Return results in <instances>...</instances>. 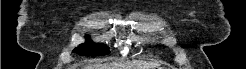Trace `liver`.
I'll return each mask as SVG.
<instances>
[{
    "mask_svg": "<svg viewBox=\"0 0 246 69\" xmlns=\"http://www.w3.org/2000/svg\"><path fill=\"white\" fill-rule=\"evenodd\" d=\"M117 67H128L125 69H154L157 67V64L141 63V62L135 61V62H132V63L126 65V66H120V65H117L115 63L105 64V65L96 64V65H89V66H87L86 69H122V68H117ZM130 67H133V68H130Z\"/></svg>",
    "mask_w": 246,
    "mask_h": 69,
    "instance_id": "liver-1",
    "label": "liver"
}]
</instances>
